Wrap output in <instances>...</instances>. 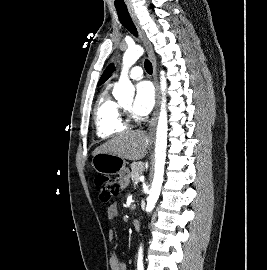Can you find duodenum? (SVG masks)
Segmentation results:
<instances>
[{"label":"duodenum","mask_w":267,"mask_h":270,"mask_svg":"<svg viewBox=\"0 0 267 270\" xmlns=\"http://www.w3.org/2000/svg\"><path fill=\"white\" fill-rule=\"evenodd\" d=\"M132 224H133V227H134L135 230L140 229V221H139V219H136V218L133 219Z\"/></svg>","instance_id":"410a0bca"}]
</instances>
